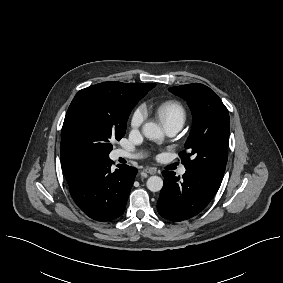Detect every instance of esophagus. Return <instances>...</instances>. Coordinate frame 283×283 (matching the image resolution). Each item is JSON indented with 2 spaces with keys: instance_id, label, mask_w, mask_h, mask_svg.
<instances>
[{
  "instance_id": "esophagus-1",
  "label": "esophagus",
  "mask_w": 283,
  "mask_h": 283,
  "mask_svg": "<svg viewBox=\"0 0 283 283\" xmlns=\"http://www.w3.org/2000/svg\"><path fill=\"white\" fill-rule=\"evenodd\" d=\"M144 171H145L146 173H148V174H151V175H154V174L157 173V170H156L155 168H152V167H146V168L144 169Z\"/></svg>"
}]
</instances>
